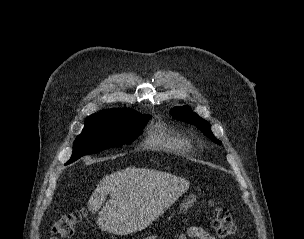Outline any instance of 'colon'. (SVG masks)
<instances>
[{
    "label": "colon",
    "mask_w": 304,
    "mask_h": 239,
    "mask_svg": "<svg viewBox=\"0 0 304 239\" xmlns=\"http://www.w3.org/2000/svg\"><path fill=\"white\" fill-rule=\"evenodd\" d=\"M209 206L212 209V225L216 234L222 238L235 236L238 228L227 208L214 206L211 201H209ZM83 217L84 212L82 210L67 213L54 222L52 231L60 238L71 237ZM58 237L56 238L58 239Z\"/></svg>",
    "instance_id": "1"
}]
</instances>
